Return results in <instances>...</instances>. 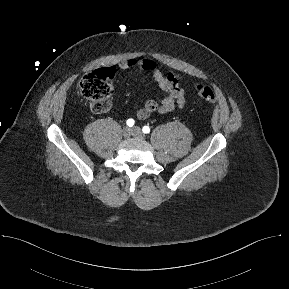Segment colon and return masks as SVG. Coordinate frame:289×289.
<instances>
[{"mask_svg": "<svg viewBox=\"0 0 289 289\" xmlns=\"http://www.w3.org/2000/svg\"><path fill=\"white\" fill-rule=\"evenodd\" d=\"M114 70L103 68L85 74L79 81V93L89 101L90 108L95 113L108 111L112 104L110 97L113 92L112 78ZM195 89L198 95L207 102L214 103L216 95L214 90L203 84H196Z\"/></svg>", "mask_w": 289, "mask_h": 289, "instance_id": "obj_1", "label": "colon"}]
</instances>
